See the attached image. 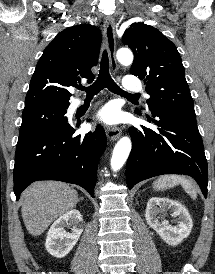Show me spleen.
Returning a JSON list of instances; mask_svg holds the SVG:
<instances>
[{
    "mask_svg": "<svg viewBox=\"0 0 215 274\" xmlns=\"http://www.w3.org/2000/svg\"><path fill=\"white\" fill-rule=\"evenodd\" d=\"M177 184H181L185 191L193 198H196V190L190 179H186L181 176H166L159 178L154 182V187L158 190L167 189L173 187Z\"/></svg>",
    "mask_w": 215,
    "mask_h": 274,
    "instance_id": "1",
    "label": "spleen"
}]
</instances>
